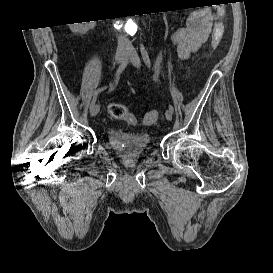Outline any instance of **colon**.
<instances>
[{
	"label": "colon",
	"instance_id": "obj_1",
	"mask_svg": "<svg viewBox=\"0 0 273 273\" xmlns=\"http://www.w3.org/2000/svg\"><path fill=\"white\" fill-rule=\"evenodd\" d=\"M222 26L220 24H216L213 34H212V47L213 49H217L219 43L222 38ZM108 114L118 120L126 121L130 125H134L136 123V119L134 115L128 110V108L121 103H110L107 107ZM159 116V112L157 110L149 111L144 119L143 123L146 125H150L154 123Z\"/></svg>",
	"mask_w": 273,
	"mask_h": 273
}]
</instances>
